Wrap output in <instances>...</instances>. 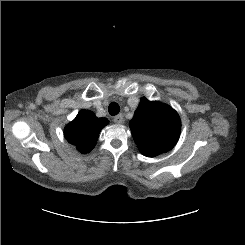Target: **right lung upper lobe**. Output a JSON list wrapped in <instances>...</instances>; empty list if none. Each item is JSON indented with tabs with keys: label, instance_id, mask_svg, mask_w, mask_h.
I'll use <instances>...</instances> for the list:
<instances>
[{
	"label": "right lung upper lobe",
	"instance_id": "cb5924a9",
	"mask_svg": "<svg viewBox=\"0 0 245 245\" xmlns=\"http://www.w3.org/2000/svg\"><path fill=\"white\" fill-rule=\"evenodd\" d=\"M107 124V119L97 118L92 112L81 110L65 127L64 134L81 153H87L93 149L100 131Z\"/></svg>",
	"mask_w": 245,
	"mask_h": 245
}]
</instances>
